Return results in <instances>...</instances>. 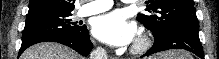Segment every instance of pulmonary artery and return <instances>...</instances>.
Returning a JSON list of instances; mask_svg holds the SVG:
<instances>
[{
  "label": "pulmonary artery",
  "instance_id": "1",
  "mask_svg": "<svg viewBox=\"0 0 219 59\" xmlns=\"http://www.w3.org/2000/svg\"><path fill=\"white\" fill-rule=\"evenodd\" d=\"M86 2L87 4L79 10V15L82 17L98 14L112 7L110 0H89Z\"/></svg>",
  "mask_w": 219,
  "mask_h": 59
}]
</instances>
